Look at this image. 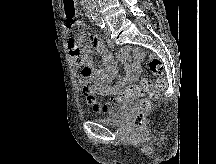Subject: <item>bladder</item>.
<instances>
[{
    "mask_svg": "<svg viewBox=\"0 0 216 164\" xmlns=\"http://www.w3.org/2000/svg\"><path fill=\"white\" fill-rule=\"evenodd\" d=\"M127 114L128 109L117 108L115 115L111 118H96V121L110 126H122L125 123Z\"/></svg>",
    "mask_w": 216,
    "mask_h": 164,
    "instance_id": "1",
    "label": "bladder"
}]
</instances>
